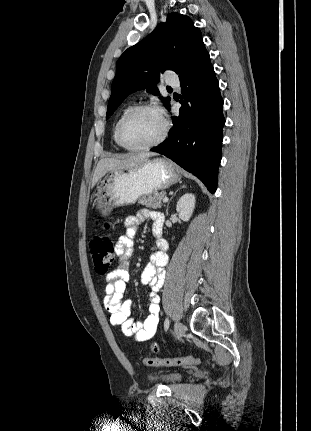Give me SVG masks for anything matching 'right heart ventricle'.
<instances>
[{
	"label": "right heart ventricle",
	"mask_w": 311,
	"mask_h": 431,
	"mask_svg": "<svg viewBox=\"0 0 311 431\" xmlns=\"http://www.w3.org/2000/svg\"><path fill=\"white\" fill-rule=\"evenodd\" d=\"M135 106V102L134 101H127L125 104H123V106L120 108V110L117 113V116L115 118L114 124H113V130H112V139L114 141V143L116 144L117 147L119 148H123V146L121 145L119 139H118V135H117V124L120 120V118L127 112L129 111L131 108H133Z\"/></svg>",
	"instance_id": "e07e8e85"
}]
</instances>
